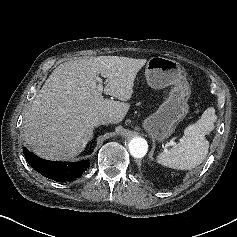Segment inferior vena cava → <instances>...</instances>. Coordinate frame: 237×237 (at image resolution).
I'll list each match as a JSON object with an SVG mask.
<instances>
[{"instance_id":"obj_1","label":"inferior vena cava","mask_w":237,"mask_h":237,"mask_svg":"<svg viewBox=\"0 0 237 237\" xmlns=\"http://www.w3.org/2000/svg\"><path fill=\"white\" fill-rule=\"evenodd\" d=\"M112 122H113V119L110 117H107V116H97L93 120V124L95 126L106 125V124H110Z\"/></svg>"}]
</instances>
